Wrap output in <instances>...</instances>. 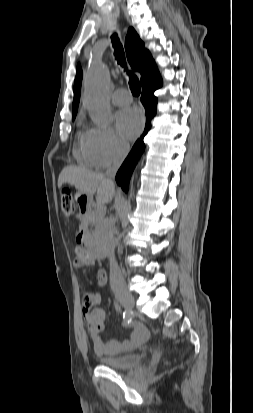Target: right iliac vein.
Listing matches in <instances>:
<instances>
[{
  "label": "right iliac vein",
  "instance_id": "1",
  "mask_svg": "<svg viewBox=\"0 0 253 413\" xmlns=\"http://www.w3.org/2000/svg\"><path fill=\"white\" fill-rule=\"evenodd\" d=\"M117 299L127 310H132L134 308L135 299L131 293H120L117 295Z\"/></svg>",
  "mask_w": 253,
  "mask_h": 413
}]
</instances>
